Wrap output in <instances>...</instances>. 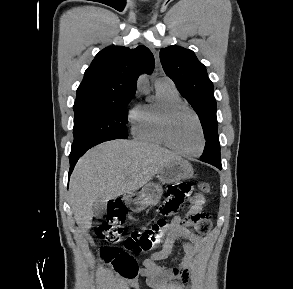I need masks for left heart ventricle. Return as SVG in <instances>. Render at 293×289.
I'll use <instances>...</instances> for the list:
<instances>
[{"instance_id": "obj_1", "label": "left heart ventricle", "mask_w": 293, "mask_h": 289, "mask_svg": "<svg viewBox=\"0 0 293 289\" xmlns=\"http://www.w3.org/2000/svg\"><path fill=\"white\" fill-rule=\"evenodd\" d=\"M171 137L174 144L182 151L195 153L201 143L197 123L188 111H180L171 123Z\"/></svg>"}]
</instances>
